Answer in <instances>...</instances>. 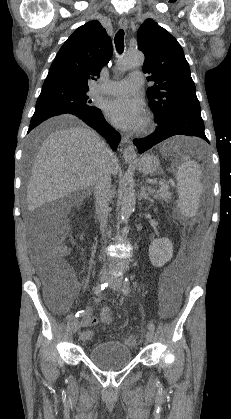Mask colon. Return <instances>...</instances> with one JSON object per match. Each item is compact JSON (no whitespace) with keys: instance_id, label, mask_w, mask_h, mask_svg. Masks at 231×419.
Here are the masks:
<instances>
[{"instance_id":"obj_1","label":"colon","mask_w":231,"mask_h":419,"mask_svg":"<svg viewBox=\"0 0 231 419\" xmlns=\"http://www.w3.org/2000/svg\"><path fill=\"white\" fill-rule=\"evenodd\" d=\"M65 255L66 247L58 245L43 256L42 273L51 290L63 291L74 278L73 272L65 262ZM101 320L106 324L111 323L112 314L107 309H103ZM125 342L129 346L136 344L134 338H128Z\"/></svg>"}]
</instances>
